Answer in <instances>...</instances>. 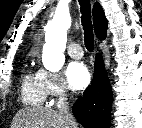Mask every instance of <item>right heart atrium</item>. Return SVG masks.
<instances>
[{"label":"right heart atrium","instance_id":"d8ad5b80","mask_svg":"<svg viewBox=\"0 0 142 128\" xmlns=\"http://www.w3.org/2000/svg\"><path fill=\"white\" fill-rule=\"evenodd\" d=\"M38 74L46 98L61 101L66 97L67 88L59 75L44 69H40Z\"/></svg>","mask_w":142,"mask_h":128}]
</instances>
